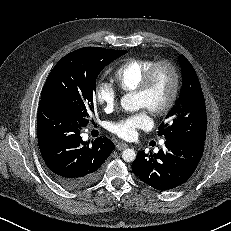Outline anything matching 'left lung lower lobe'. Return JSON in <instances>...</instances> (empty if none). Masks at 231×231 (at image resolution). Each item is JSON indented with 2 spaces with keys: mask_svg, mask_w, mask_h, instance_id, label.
I'll list each match as a JSON object with an SVG mask.
<instances>
[{
  "mask_svg": "<svg viewBox=\"0 0 231 231\" xmlns=\"http://www.w3.org/2000/svg\"><path fill=\"white\" fill-rule=\"evenodd\" d=\"M204 151V143L166 139L156 154L138 151L133 173L158 190L176 188L194 173Z\"/></svg>",
  "mask_w": 231,
  "mask_h": 231,
  "instance_id": "0a47b994",
  "label": "left lung lower lobe"
}]
</instances>
